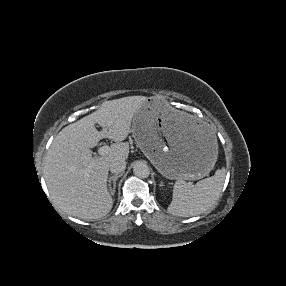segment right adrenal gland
Listing matches in <instances>:
<instances>
[{
  "label": "right adrenal gland",
  "mask_w": 286,
  "mask_h": 286,
  "mask_svg": "<svg viewBox=\"0 0 286 286\" xmlns=\"http://www.w3.org/2000/svg\"><path fill=\"white\" fill-rule=\"evenodd\" d=\"M121 176H122V173L121 174H115L114 176H111L108 179V187H109V191L112 195H114L116 192V180L119 179ZM112 184H113V186H112Z\"/></svg>",
  "instance_id": "2a0ac1e0"
}]
</instances>
